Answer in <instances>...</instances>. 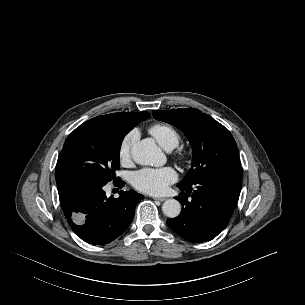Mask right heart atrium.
<instances>
[{"label":"right heart atrium","mask_w":305,"mask_h":305,"mask_svg":"<svg viewBox=\"0 0 305 305\" xmlns=\"http://www.w3.org/2000/svg\"><path fill=\"white\" fill-rule=\"evenodd\" d=\"M137 134L135 131L127 134L119 146V159L122 164H128L131 161L132 147L136 140Z\"/></svg>","instance_id":"right-heart-atrium-1"}]
</instances>
